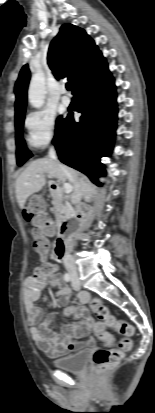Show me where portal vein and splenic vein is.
<instances>
[{"label":"portal vein and splenic vein","instance_id":"1","mask_svg":"<svg viewBox=\"0 0 155 413\" xmlns=\"http://www.w3.org/2000/svg\"><path fill=\"white\" fill-rule=\"evenodd\" d=\"M72 186L70 185V184H64L63 185V191H64V193H66V194H69V193H71L72 192Z\"/></svg>","mask_w":155,"mask_h":413}]
</instances>
